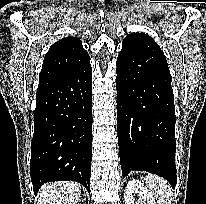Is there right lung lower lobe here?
Returning a JSON list of instances; mask_svg holds the SVG:
<instances>
[{"instance_id":"right-lung-lower-lobe-1","label":"right lung lower lobe","mask_w":206,"mask_h":204,"mask_svg":"<svg viewBox=\"0 0 206 204\" xmlns=\"http://www.w3.org/2000/svg\"><path fill=\"white\" fill-rule=\"evenodd\" d=\"M92 120L90 59L39 80L30 161L34 193L60 180L79 182L90 192Z\"/></svg>"}]
</instances>
